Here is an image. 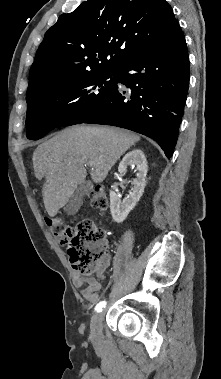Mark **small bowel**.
<instances>
[{
    "mask_svg": "<svg viewBox=\"0 0 221 379\" xmlns=\"http://www.w3.org/2000/svg\"><path fill=\"white\" fill-rule=\"evenodd\" d=\"M110 264V255L105 253L97 268V277H84L76 273L73 277L74 285L81 289V295L89 303H96L99 300V281L104 278V272Z\"/></svg>",
    "mask_w": 221,
    "mask_h": 379,
    "instance_id": "small-bowel-1",
    "label": "small bowel"
}]
</instances>
